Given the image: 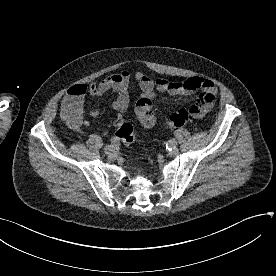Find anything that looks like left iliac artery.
Returning a JSON list of instances; mask_svg holds the SVG:
<instances>
[{"label": "left iliac artery", "instance_id": "44dca946", "mask_svg": "<svg viewBox=\"0 0 276 276\" xmlns=\"http://www.w3.org/2000/svg\"><path fill=\"white\" fill-rule=\"evenodd\" d=\"M177 145V141L175 139H170L167 143V148H169V150L172 148V147H175Z\"/></svg>", "mask_w": 276, "mask_h": 276}]
</instances>
